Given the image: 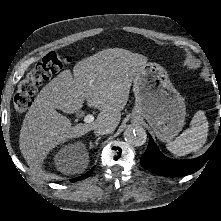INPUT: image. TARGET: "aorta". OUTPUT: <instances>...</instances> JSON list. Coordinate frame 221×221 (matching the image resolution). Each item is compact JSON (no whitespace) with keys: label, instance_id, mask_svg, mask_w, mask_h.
Segmentation results:
<instances>
[{"label":"aorta","instance_id":"762f6f07","mask_svg":"<svg viewBox=\"0 0 221 221\" xmlns=\"http://www.w3.org/2000/svg\"><path fill=\"white\" fill-rule=\"evenodd\" d=\"M124 140L134 146H141L146 142L147 134L141 126H130L124 131Z\"/></svg>","mask_w":221,"mask_h":221}]
</instances>
